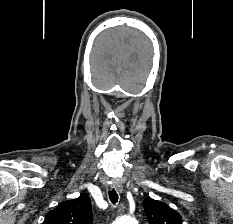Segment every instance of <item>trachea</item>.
Here are the masks:
<instances>
[{
    "instance_id": "trachea-1",
    "label": "trachea",
    "mask_w": 233,
    "mask_h": 224,
    "mask_svg": "<svg viewBox=\"0 0 233 224\" xmlns=\"http://www.w3.org/2000/svg\"><path fill=\"white\" fill-rule=\"evenodd\" d=\"M109 198L113 204H115L118 201V194L116 193L114 189H112L109 192Z\"/></svg>"
}]
</instances>
